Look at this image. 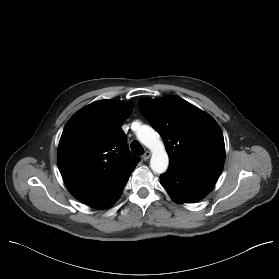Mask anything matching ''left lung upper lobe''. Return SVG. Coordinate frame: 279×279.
<instances>
[{
    "label": "left lung upper lobe",
    "instance_id": "1",
    "mask_svg": "<svg viewBox=\"0 0 279 279\" xmlns=\"http://www.w3.org/2000/svg\"><path fill=\"white\" fill-rule=\"evenodd\" d=\"M139 108L161 135L169 156V167L219 176L225 160L222 131L207 113L177 97L142 98Z\"/></svg>",
    "mask_w": 279,
    "mask_h": 279
}]
</instances>
